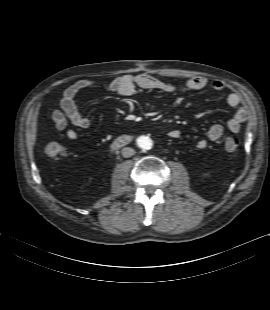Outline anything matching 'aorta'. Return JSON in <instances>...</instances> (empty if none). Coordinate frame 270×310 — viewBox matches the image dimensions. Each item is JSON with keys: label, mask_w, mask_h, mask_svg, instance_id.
<instances>
[{"label": "aorta", "mask_w": 270, "mask_h": 310, "mask_svg": "<svg viewBox=\"0 0 270 310\" xmlns=\"http://www.w3.org/2000/svg\"><path fill=\"white\" fill-rule=\"evenodd\" d=\"M137 144L142 149H150L153 145L152 140L147 136L138 137Z\"/></svg>", "instance_id": "762f6f07"}]
</instances>
